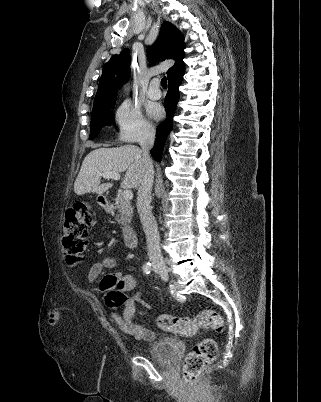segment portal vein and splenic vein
Wrapping results in <instances>:
<instances>
[{"instance_id":"portal-vein-and-splenic-vein-1","label":"portal vein and splenic vein","mask_w":321,"mask_h":402,"mask_svg":"<svg viewBox=\"0 0 321 402\" xmlns=\"http://www.w3.org/2000/svg\"><path fill=\"white\" fill-rule=\"evenodd\" d=\"M103 178L105 179H114V180H119L120 179V174L117 172H106L102 174ZM122 197L125 200H130L133 197V193L131 190L126 189L122 193Z\"/></svg>"}]
</instances>
